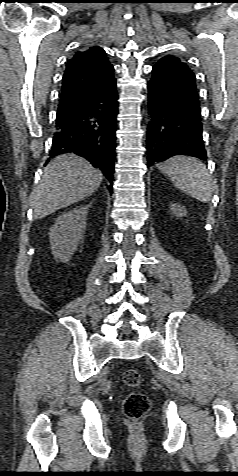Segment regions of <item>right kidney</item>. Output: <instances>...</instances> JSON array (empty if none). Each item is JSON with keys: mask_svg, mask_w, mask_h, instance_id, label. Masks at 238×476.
<instances>
[{"mask_svg": "<svg viewBox=\"0 0 238 476\" xmlns=\"http://www.w3.org/2000/svg\"><path fill=\"white\" fill-rule=\"evenodd\" d=\"M88 206L63 213L49 230L52 254L62 262L71 259L86 228Z\"/></svg>", "mask_w": 238, "mask_h": 476, "instance_id": "ca27d5eb", "label": "right kidney"}]
</instances>
